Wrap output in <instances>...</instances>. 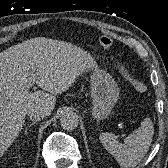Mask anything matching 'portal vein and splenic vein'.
<instances>
[{
	"label": "portal vein and splenic vein",
	"instance_id": "18ae733b",
	"mask_svg": "<svg viewBox=\"0 0 168 168\" xmlns=\"http://www.w3.org/2000/svg\"><path fill=\"white\" fill-rule=\"evenodd\" d=\"M36 80H37V78H36L35 74H32L31 77L29 78V86H32L36 82Z\"/></svg>",
	"mask_w": 168,
	"mask_h": 168
}]
</instances>
